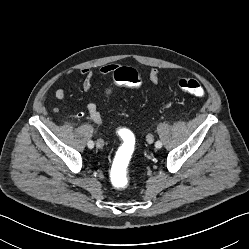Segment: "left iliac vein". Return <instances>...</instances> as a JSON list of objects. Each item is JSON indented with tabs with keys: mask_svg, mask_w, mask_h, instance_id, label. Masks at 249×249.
Wrapping results in <instances>:
<instances>
[{
	"mask_svg": "<svg viewBox=\"0 0 249 249\" xmlns=\"http://www.w3.org/2000/svg\"><path fill=\"white\" fill-rule=\"evenodd\" d=\"M146 140L149 144H152L153 141H154V137L152 134H148L147 137H146Z\"/></svg>",
	"mask_w": 249,
	"mask_h": 249,
	"instance_id": "1",
	"label": "left iliac vein"
}]
</instances>
